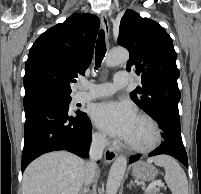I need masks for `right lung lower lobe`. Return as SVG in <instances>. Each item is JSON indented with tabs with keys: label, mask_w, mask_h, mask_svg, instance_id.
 <instances>
[{
	"label": "right lung lower lobe",
	"mask_w": 201,
	"mask_h": 194,
	"mask_svg": "<svg viewBox=\"0 0 201 194\" xmlns=\"http://www.w3.org/2000/svg\"><path fill=\"white\" fill-rule=\"evenodd\" d=\"M25 126L22 172L44 153L66 150L88 157L91 122L86 113L73 112L51 94L24 97Z\"/></svg>",
	"instance_id": "right-lung-lower-lobe-1"
}]
</instances>
